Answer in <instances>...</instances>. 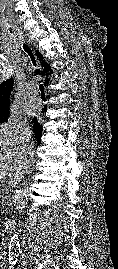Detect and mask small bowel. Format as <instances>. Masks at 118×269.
<instances>
[{"label":"small bowel","mask_w":118,"mask_h":269,"mask_svg":"<svg viewBox=\"0 0 118 269\" xmlns=\"http://www.w3.org/2000/svg\"><path fill=\"white\" fill-rule=\"evenodd\" d=\"M0 269H7V266H6V264H4V263H1V264H0Z\"/></svg>","instance_id":"1"}]
</instances>
